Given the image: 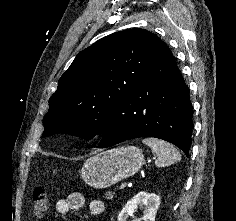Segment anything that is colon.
Listing matches in <instances>:
<instances>
[{
    "instance_id": "colon-1",
    "label": "colon",
    "mask_w": 236,
    "mask_h": 221,
    "mask_svg": "<svg viewBox=\"0 0 236 221\" xmlns=\"http://www.w3.org/2000/svg\"><path fill=\"white\" fill-rule=\"evenodd\" d=\"M49 208V199L43 188L35 189L33 193V211L38 217L43 216Z\"/></svg>"
}]
</instances>
